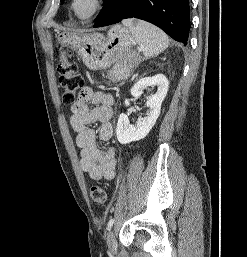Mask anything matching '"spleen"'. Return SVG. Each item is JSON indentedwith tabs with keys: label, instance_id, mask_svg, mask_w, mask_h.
<instances>
[{
	"label": "spleen",
	"instance_id": "obj_1",
	"mask_svg": "<svg viewBox=\"0 0 247 257\" xmlns=\"http://www.w3.org/2000/svg\"><path fill=\"white\" fill-rule=\"evenodd\" d=\"M122 23L129 28L145 57H154L169 45L168 36L150 23L135 19H125Z\"/></svg>",
	"mask_w": 247,
	"mask_h": 257
}]
</instances>
